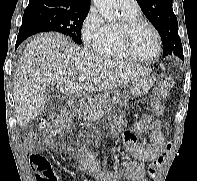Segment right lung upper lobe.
I'll use <instances>...</instances> for the list:
<instances>
[{
    "mask_svg": "<svg viewBox=\"0 0 197 181\" xmlns=\"http://www.w3.org/2000/svg\"><path fill=\"white\" fill-rule=\"evenodd\" d=\"M37 8L85 11L90 9V0H29L26 10Z\"/></svg>",
    "mask_w": 197,
    "mask_h": 181,
    "instance_id": "right-lung-upper-lobe-1",
    "label": "right lung upper lobe"
}]
</instances>
